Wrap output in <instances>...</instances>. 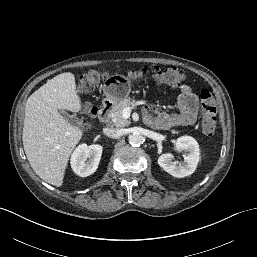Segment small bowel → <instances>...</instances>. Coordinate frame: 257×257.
<instances>
[{
	"mask_svg": "<svg viewBox=\"0 0 257 257\" xmlns=\"http://www.w3.org/2000/svg\"><path fill=\"white\" fill-rule=\"evenodd\" d=\"M178 97V113H165L154 107L146 109L147 122L157 128L172 129L191 126L198 116V99L192 88L186 84L180 85Z\"/></svg>",
	"mask_w": 257,
	"mask_h": 257,
	"instance_id": "1",
	"label": "small bowel"
}]
</instances>
